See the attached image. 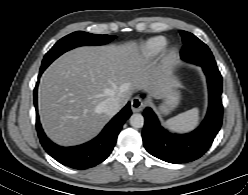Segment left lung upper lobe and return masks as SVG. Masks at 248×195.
I'll use <instances>...</instances> for the list:
<instances>
[{"instance_id": "5c2ea615", "label": "left lung upper lobe", "mask_w": 248, "mask_h": 195, "mask_svg": "<svg viewBox=\"0 0 248 195\" xmlns=\"http://www.w3.org/2000/svg\"><path fill=\"white\" fill-rule=\"evenodd\" d=\"M184 46L181 50L183 60L197 64L215 63L214 57L206 44L192 33L180 30Z\"/></svg>"}]
</instances>
